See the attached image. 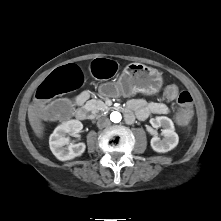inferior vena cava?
<instances>
[{
  "instance_id": "inferior-vena-cava-1",
  "label": "inferior vena cava",
  "mask_w": 221,
  "mask_h": 221,
  "mask_svg": "<svg viewBox=\"0 0 221 221\" xmlns=\"http://www.w3.org/2000/svg\"><path fill=\"white\" fill-rule=\"evenodd\" d=\"M111 124L109 118L107 117H100L97 121L98 128H104Z\"/></svg>"
}]
</instances>
